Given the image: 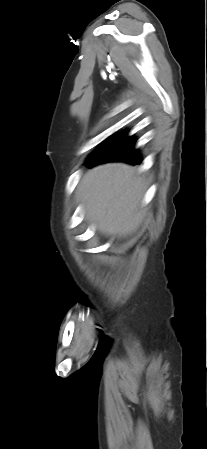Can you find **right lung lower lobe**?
<instances>
[{"instance_id":"right-lung-lower-lobe-1","label":"right lung lower lobe","mask_w":207,"mask_h":449,"mask_svg":"<svg viewBox=\"0 0 207 449\" xmlns=\"http://www.w3.org/2000/svg\"><path fill=\"white\" fill-rule=\"evenodd\" d=\"M126 134L127 132H123L107 142L90 158L87 167L110 161H122L132 164L141 163L138 151L134 149L135 139L133 136H126Z\"/></svg>"}]
</instances>
